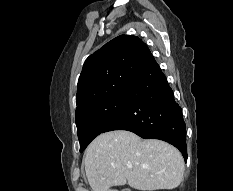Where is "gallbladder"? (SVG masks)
I'll return each mask as SVG.
<instances>
[{
    "mask_svg": "<svg viewBox=\"0 0 233 191\" xmlns=\"http://www.w3.org/2000/svg\"><path fill=\"white\" fill-rule=\"evenodd\" d=\"M122 191H130V190H128V189H124V190H122Z\"/></svg>",
    "mask_w": 233,
    "mask_h": 191,
    "instance_id": "bac80fb5",
    "label": "gallbladder"
}]
</instances>
